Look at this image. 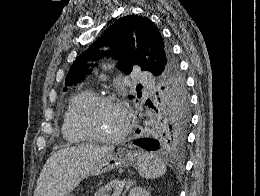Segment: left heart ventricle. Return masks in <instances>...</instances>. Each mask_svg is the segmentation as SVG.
<instances>
[{"instance_id":"obj_1","label":"left heart ventricle","mask_w":260,"mask_h":196,"mask_svg":"<svg viewBox=\"0 0 260 196\" xmlns=\"http://www.w3.org/2000/svg\"><path fill=\"white\" fill-rule=\"evenodd\" d=\"M125 122L124 109L116 104L99 107L90 119V125L95 131L110 135L118 134L123 129Z\"/></svg>"}]
</instances>
